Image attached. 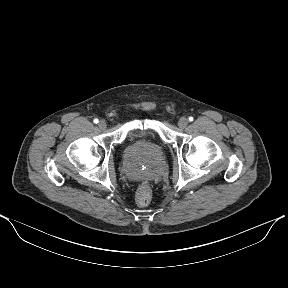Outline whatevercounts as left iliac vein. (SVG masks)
Returning a JSON list of instances; mask_svg holds the SVG:
<instances>
[{
  "instance_id": "4c4485c4",
  "label": "left iliac vein",
  "mask_w": 288,
  "mask_h": 288,
  "mask_svg": "<svg viewBox=\"0 0 288 288\" xmlns=\"http://www.w3.org/2000/svg\"><path fill=\"white\" fill-rule=\"evenodd\" d=\"M188 125V119L185 117H181L178 121V126L180 128H185Z\"/></svg>"
}]
</instances>
